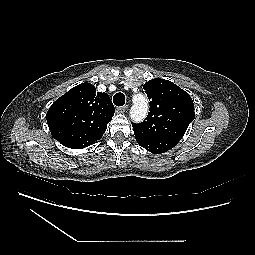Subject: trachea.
Segmentation results:
<instances>
[{
    "label": "trachea",
    "mask_w": 255,
    "mask_h": 255,
    "mask_svg": "<svg viewBox=\"0 0 255 255\" xmlns=\"http://www.w3.org/2000/svg\"><path fill=\"white\" fill-rule=\"evenodd\" d=\"M113 102L116 106H123L125 104V96L119 92L113 96Z\"/></svg>",
    "instance_id": "obj_1"
}]
</instances>
